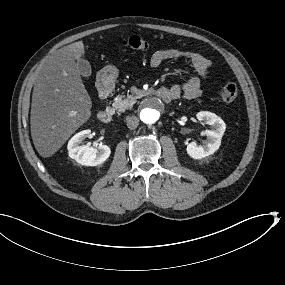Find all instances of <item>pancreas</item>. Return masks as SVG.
<instances>
[{
  "label": "pancreas",
  "mask_w": 285,
  "mask_h": 285,
  "mask_svg": "<svg viewBox=\"0 0 285 285\" xmlns=\"http://www.w3.org/2000/svg\"><path fill=\"white\" fill-rule=\"evenodd\" d=\"M139 96L136 93L131 95L126 94L120 97L114 98L111 101L112 106L117 110L119 114L125 112L133 107V104L138 101Z\"/></svg>",
  "instance_id": "1"
}]
</instances>
